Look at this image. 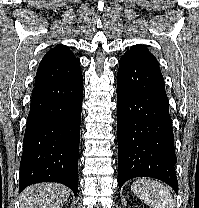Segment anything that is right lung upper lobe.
I'll list each match as a JSON object with an SVG mask.
<instances>
[{
    "label": "right lung upper lobe",
    "mask_w": 199,
    "mask_h": 208,
    "mask_svg": "<svg viewBox=\"0 0 199 208\" xmlns=\"http://www.w3.org/2000/svg\"><path fill=\"white\" fill-rule=\"evenodd\" d=\"M81 74L80 61L65 45H57L45 54L36 73L35 87L52 85Z\"/></svg>",
    "instance_id": "1"
}]
</instances>
